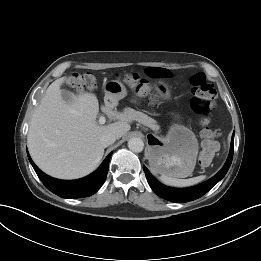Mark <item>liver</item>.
<instances>
[{
	"instance_id": "liver-1",
	"label": "liver",
	"mask_w": 261,
	"mask_h": 261,
	"mask_svg": "<svg viewBox=\"0 0 261 261\" xmlns=\"http://www.w3.org/2000/svg\"><path fill=\"white\" fill-rule=\"evenodd\" d=\"M71 78H59L46 90L36 108L28 132V149L36 165L45 173L61 179H77L93 172L104 155L100 138L113 134L120 139L130 129L131 119L113 110L105 99L101 110L116 122L98 125L99 103L95 94H70L67 103L61 85Z\"/></svg>"
}]
</instances>
